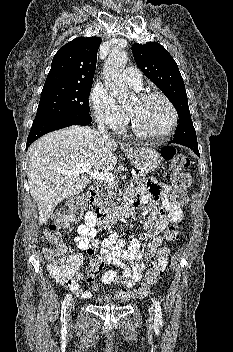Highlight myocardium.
I'll use <instances>...</instances> for the list:
<instances>
[{"instance_id": "f54148a6", "label": "myocardium", "mask_w": 233, "mask_h": 352, "mask_svg": "<svg viewBox=\"0 0 233 352\" xmlns=\"http://www.w3.org/2000/svg\"><path fill=\"white\" fill-rule=\"evenodd\" d=\"M152 98H159V99L163 100L167 104V106L169 107V109L171 111L172 119H171V122L166 130H164L163 132H160V133H149V132H146V131L140 129L135 124V122L133 121V119L131 118L130 115H128V121H129L131 130L137 136L145 138V139L157 140V139L165 138L173 131V129L175 128V126L177 125V122H178V113H177V110H176L174 104L172 103V101L163 93L146 92V93L139 94L137 97V99L141 102H145V101L150 100Z\"/></svg>"}]
</instances>
